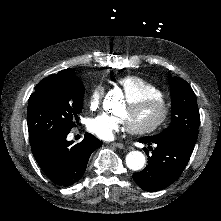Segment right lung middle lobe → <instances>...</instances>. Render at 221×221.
Wrapping results in <instances>:
<instances>
[{
	"label": "right lung middle lobe",
	"instance_id": "dd1d6c3e",
	"mask_svg": "<svg viewBox=\"0 0 221 221\" xmlns=\"http://www.w3.org/2000/svg\"><path fill=\"white\" fill-rule=\"evenodd\" d=\"M84 91L82 81L72 70L41 80L28 101L30 144L68 135L81 113Z\"/></svg>",
	"mask_w": 221,
	"mask_h": 221
}]
</instances>
